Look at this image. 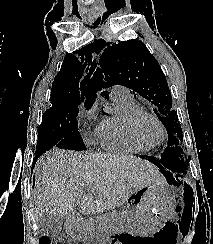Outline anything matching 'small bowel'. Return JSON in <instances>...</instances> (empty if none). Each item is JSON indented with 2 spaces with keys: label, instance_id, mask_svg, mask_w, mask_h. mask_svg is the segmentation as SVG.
<instances>
[{
  "label": "small bowel",
  "instance_id": "small-bowel-1",
  "mask_svg": "<svg viewBox=\"0 0 213 244\" xmlns=\"http://www.w3.org/2000/svg\"><path fill=\"white\" fill-rule=\"evenodd\" d=\"M125 240L123 238L118 239L117 241L114 242V244H125Z\"/></svg>",
  "mask_w": 213,
  "mask_h": 244
}]
</instances>
